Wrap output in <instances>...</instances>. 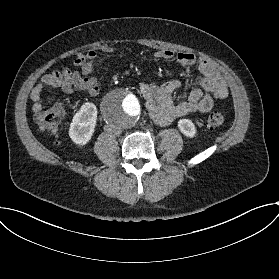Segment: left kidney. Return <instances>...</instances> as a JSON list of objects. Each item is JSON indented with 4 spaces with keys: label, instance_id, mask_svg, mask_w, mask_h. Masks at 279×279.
<instances>
[{
    "label": "left kidney",
    "instance_id": "left-kidney-1",
    "mask_svg": "<svg viewBox=\"0 0 279 279\" xmlns=\"http://www.w3.org/2000/svg\"><path fill=\"white\" fill-rule=\"evenodd\" d=\"M178 128L187 137L193 138L196 134L195 125L190 119H180L178 121Z\"/></svg>",
    "mask_w": 279,
    "mask_h": 279
}]
</instances>
